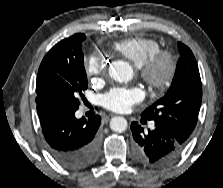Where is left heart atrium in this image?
<instances>
[{"instance_id":"obj_1","label":"left heart atrium","mask_w":223,"mask_h":188,"mask_svg":"<svg viewBox=\"0 0 223 188\" xmlns=\"http://www.w3.org/2000/svg\"><path fill=\"white\" fill-rule=\"evenodd\" d=\"M143 98L144 93L140 88H113L101 97V103L110 111L126 112Z\"/></svg>"}]
</instances>
